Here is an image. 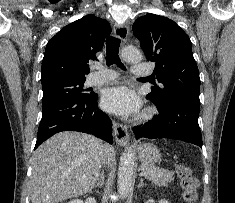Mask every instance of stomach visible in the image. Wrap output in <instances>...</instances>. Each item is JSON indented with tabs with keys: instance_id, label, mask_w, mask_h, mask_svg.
<instances>
[{
	"instance_id": "obj_1",
	"label": "stomach",
	"mask_w": 235,
	"mask_h": 203,
	"mask_svg": "<svg viewBox=\"0 0 235 203\" xmlns=\"http://www.w3.org/2000/svg\"><path fill=\"white\" fill-rule=\"evenodd\" d=\"M137 152L139 159L142 161L143 164L153 165L157 163L161 158L159 149L155 145L150 143L139 145L137 147Z\"/></svg>"
}]
</instances>
